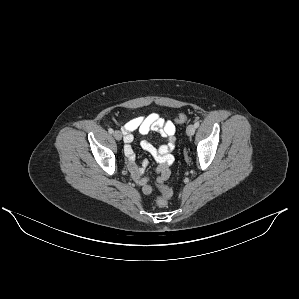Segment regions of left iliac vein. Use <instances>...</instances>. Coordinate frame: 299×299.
<instances>
[{
  "label": "left iliac vein",
  "instance_id": "1",
  "mask_svg": "<svg viewBox=\"0 0 299 299\" xmlns=\"http://www.w3.org/2000/svg\"><path fill=\"white\" fill-rule=\"evenodd\" d=\"M195 126L193 124L188 125L187 129H186V133L188 136H193L195 133Z\"/></svg>",
  "mask_w": 299,
  "mask_h": 299
}]
</instances>
